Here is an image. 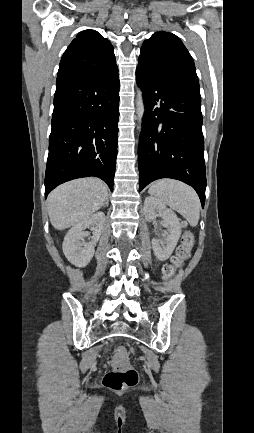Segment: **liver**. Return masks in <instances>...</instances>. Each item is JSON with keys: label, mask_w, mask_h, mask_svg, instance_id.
Wrapping results in <instances>:
<instances>
[{"label": "liver", "mask_w": 254, "mask_h": 433, "mask_svg": "<svg viewBox=\"0 0 254 433\" xmlns=\"http://www.w3.org/2000/svg\"><path fill=\"white\" fill-rule=\"evenodd\" d=\"M107 186L97 178H82L58 186L48 196V214L55 229L69 228L100 209Z\"/></svg>", "instance_id": "1"}]
</instances>
